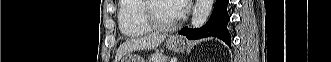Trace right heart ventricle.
<instances>
[{
    "label": "right heart ventricle",
    "mask_w": 331,
    "mask_h": 62,
    "mask_svg": "<svg viewBox=\"0 0 331 62\" xmlns=\"http://www.w3.org/2000/svg\"><path fill=\"white\" fill-rule=\"evenodd\" d=\"M142 0H120L118 4V24L126 37H140L151 32L141 20Z\"/></svg>",
    "instance_id": "right-heart-ventricle-1"
}]
</instances>
